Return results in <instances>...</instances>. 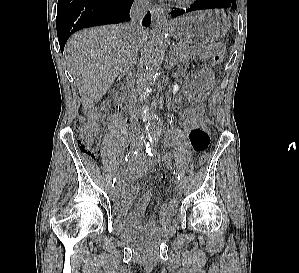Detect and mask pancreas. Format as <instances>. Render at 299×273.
<instances>
[{
	"label": "pancreas",
	"instance_id": "1",
	"mask_svg": "<svg viewBox=\"0 0 299 273\" xmlns=\"http://www.w3.org/2000/svg\"><path fill=\"white\" fill-rule=\"evenodd\" d=\"M175 62H187L192 57L191 47L187 43H179L175 48Z\"/></svg>",
	"mask_w": 299,
	"mask_h": 273
}]
</instances>
